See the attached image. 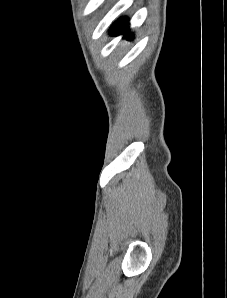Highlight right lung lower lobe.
<instances>
[{
    "label": "right lung lower lobe",
    "instance_id": "1",
    "mask_svg": "<svg viewBox=\"0 0 227 298\" xmlns=\"http://www.w3.org/2000/svg\"><path fill=\"white\" fill-rule=\"evenodd\" d=\"M128 19L127 18H121L119 19L110 29V34L112 36H116L119 34H124L127 36L128 39H132V34H129V28L126 27L128 25Z\"/></svg>",
    "mask_w": 227,
    "mask_h": 298
}]
</instances>
